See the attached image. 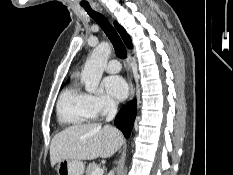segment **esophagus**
Masks as SVG:
<instances>
[{"instance_id":"34e87169","label":"esophagus","mask_w":233,"mask_h":175,"mask_svg":"<svg viewBox=\"0 0 233 175\" xmlns=\"http://www.w3.org/2000/svg\"><path fill=\"white\" fill-rule=\"evenodd\" d=\"M126 66H127V78H128L129 88H130L129 100H131L135 94V84H134L132 71H131V55H130V53L128 54V57H127Z\"/></svg>"}]
</instances>
